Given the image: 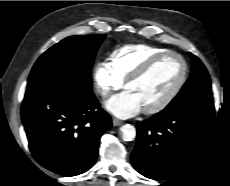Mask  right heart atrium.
Listing matches in <instances>:
<instances>
[{"label": "right heart atrium", "mask_w": 230, "mask_h": 186, "mask_svg": "<svg viewBox=\"0 0 230 186\" xmlns=\"http://www.w3.org/2000/svg\"><path fill=\"white\" fill-rule=\"evenodd\" d=\"M93 80L97 92L103 98H107L123 86V81L117 76L110 63L106 60L96 63L93 69Z\"/></svg>", "instance_id": "right-heart-atrium-1"}]
</instances>
